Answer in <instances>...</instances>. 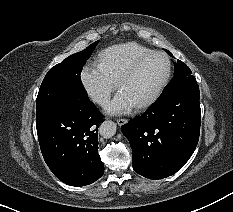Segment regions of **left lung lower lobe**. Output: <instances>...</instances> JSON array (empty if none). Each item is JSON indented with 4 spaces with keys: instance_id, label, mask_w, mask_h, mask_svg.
Masks as SVG:
<instances>
[{
    "instance_id": "1",
    "label": "left lung lower lobe",
    "mask_w": 233,
    "mask_h": 212,
    "mask_svg": "<svg viewBox=\"0 0 233 212\" xmlns=\"http://www.w3.org/2000/svg\"><path fill=\"white\" fill-rule=\"evenodd\" d=\"M199 99L197 83L180 85L161 94L145 113L122 126L138 174L166 178L189 160L199 140Z\"/></svg>"
}]
</instances>
